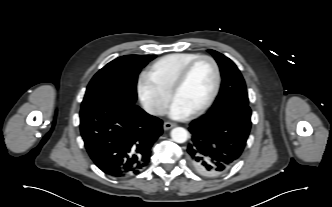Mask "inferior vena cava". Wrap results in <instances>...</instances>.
I'll return each mask as SVG.
<instances>
[{"label": "inferior vena cava", "mask_w": 332, "mask_h": 207, "mask_svg": "<svg viewBox=\"0 0 332 207\" xmlns=\"http://www.w3.org/2000/svg\"><path fill=\"white\" fill-rule=\"evenodd\" d=\"M144 110L151 115H160L161 116V115L166 114V110L162 106L145 104Z\"/></svg>", "instance_id": "obj_1"}]
</instances>
